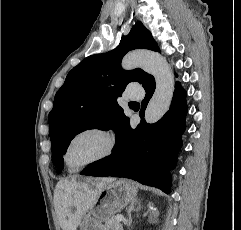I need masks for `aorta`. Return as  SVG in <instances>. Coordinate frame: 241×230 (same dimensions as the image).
Wrapping results in <instances>:
<instances>
[{
    "label": "aorta",
    "mask_w": 241,
    "mask_h": 230,
    "mask_svg": "<svg viewBox=\"0 0 241 230\" xmlns=\"http://www.w3.org/2000/svg\"><path fill=\"white\" fill-rule=\"evenodd\" d=\"M121 65L124 70L141 67L154 77L156 89L146 108L145 121L156 123L168 111L174 93V76L167 61L153 52H130Z\"/></svg>",
    "instance_id": "1"
}]
</instances>
